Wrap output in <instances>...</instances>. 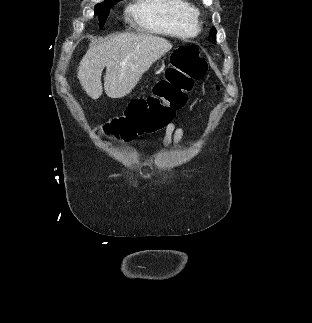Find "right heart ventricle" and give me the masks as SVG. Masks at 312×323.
I'll return each mask as SVG.
<instances>
[{"mask_svg":"<svg viewBox=\"0 0 312 323\" xmlns=\"http://www.w3.org/2000/svg\"><path fill=\"white\" fill-rule=\"evenodd\" d=\"M126 20H135L152 33H198L199 22L186 1L133 0L126 9Z\"/></svg>","mask_w":312,"mask_h":323,"instance_id":"1","label":"right heart ventricle"}]
</instances>
